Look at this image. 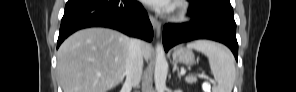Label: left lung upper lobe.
Listing matches in <instances>:
<instances>
[{
    "instance_id": "obj_1",
    "label": "left lung upper lobe",
    "mask_w": 296,
    "mask_h": 92,
    "mask_svg": "<svg viewBox=\"0 0 296 92\" xmlns=\"http://www.w3.org/2000/svg\"><path fill=\"white\" fill-rule=\"evenodd\" d=\"M190 2L194 3V4H230V0H189Z\"/></svg>"
}]
</instances>
